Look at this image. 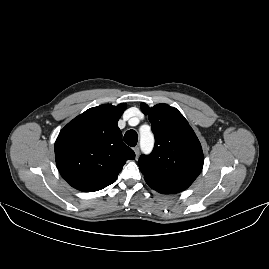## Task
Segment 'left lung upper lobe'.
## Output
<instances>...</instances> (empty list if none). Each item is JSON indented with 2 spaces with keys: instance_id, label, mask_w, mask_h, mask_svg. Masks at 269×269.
<instances>
[{
  "instance_id": "left-lung-upper-lobe-1",
  "label": "left lung upper lobe",
  "mask_w": 269,
  "mask_h": 269,
  "mask_svg": "<svg viewBox=\"0 0 269 269\" xmlns=\"http://www.w3.org/2000/svg\"><path fill=\"white\" fill-rule=\"evenodd\" d=\"M141 110L148 115L155 136L152 153L141 155L138 160L145 180L189 187L200 174L204 162L194 131L182 114L167 104L148 108L142 103Z\"/></svg>"
}]
</instances>
